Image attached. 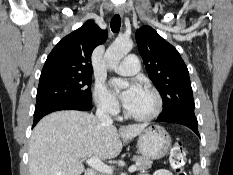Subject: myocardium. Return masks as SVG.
<instances>
[{"mask_svg": "<svg viewBox=\"0 0 233 175\" xmlns=\"http://www.w3.org/2000/svg\"><path fill=\"white\" fill-rule=\"evenodd\" d=\"M143 90L148 92L154 98V101H155L154 108L147 114L135 115V114L130 113L125 106L124 115L126 118H129L134 121L145 122V121L153 120L160 115L163 109V99L159 91L156 88L149 86V85L144 86Z\"/></svg>", "mask_w": 233, "mask_h": 175, "instance_id": "obj_1", "label": "myocardium"}]
</instances>
